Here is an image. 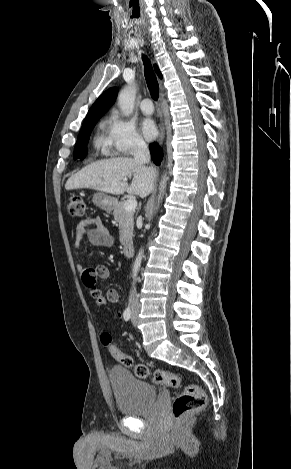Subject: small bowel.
I'll return each instance as SVG.
<instances>
[{"label":"small bowel","mask_w":291,"mask_h":469,"mask_svg":"<svg viewBox=\"0 0 291 469\" xmlns=\"http://www.w3.org/2000/svg\"><path fill=\"white\" fill-rule=\"evenodd\" d=\"M84 238H87L94 246L110 247L113 244V238L100 218H88L76 224L74 248L77 256L80 254L81 242ZM77 269L82 272V281L93 298L101 296L106 304L117 302L119 295L116 289H109L104 296L96 285L97 280H104L109 277V269L105 265L84 269L81 264H78Z\"/></svg>","instance_id":"c3829d8e"}]
</instances>
